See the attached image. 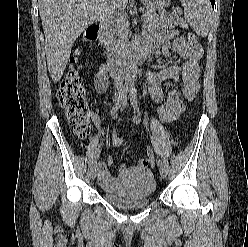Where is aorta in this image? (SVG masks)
I'll return each instance as SVG.
<instances>
[{"label": "aorta", "instance_id": "762f6f07", "mask_svg": "<svg viewBox=\"0 0 248 247\" xmlns=\"http://www.w3.org/2000/svg\"><path fill=\"white\" fill-rule=\"evenodd\" d=\"M137 72L136 60L133 52H130L127 56L126 71H125V86L132 87L135 82Z\"/></svg>", "mask_w": 248, "mask_h": 247}]
</instances>
